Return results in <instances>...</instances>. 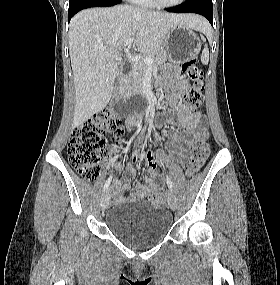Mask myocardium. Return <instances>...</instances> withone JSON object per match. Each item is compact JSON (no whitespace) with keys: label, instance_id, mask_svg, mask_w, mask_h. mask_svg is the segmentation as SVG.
Returning a JSON list of instances; mask_svg holds the SVG:
<instances>
[{"label":"myocardium","instance_id":"f54148a6","mask_svg":"<svg viewBox=\"0 0 280 285\" xmlns=\"http://www.w3.org/2000/svg\"><path fill=\"white\" fill-rule=\"evenodd\" d=\"M153 5H156L159 8H174L181 5L185 0H177L173 3H162L160 0H150Z\"/></svg>","mask_w":280,"mask_h":285}]
</instances>
